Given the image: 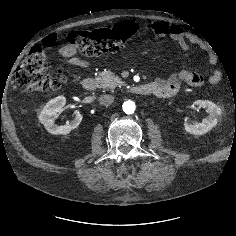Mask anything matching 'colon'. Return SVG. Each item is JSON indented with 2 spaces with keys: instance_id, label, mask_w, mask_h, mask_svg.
<instances>
[{
  "instance_id": "5ec220e1",
  "label": "colon",
  "mask_w": 236,
  "mask_h": 236,
  "mask_svg": "<svg viewBox=\"0 0 236 236\" xmlns=\"http://www.w3.org/2000/svg\"><path fill=\"white\" fill-rule=\"evenodd\" d=\"M137 26L132 21H124L113 27H102L84 31H73L66 35L69 44L84 54L94 56L112 52L123 47L135 33ZM57 35L47 36L43 46L52 47ZM16 79L26 91L43 93L58 89L64 82L63 75L51 72V64L43 47H34L20 64Z\"/></svg>"
}]
</instances>
